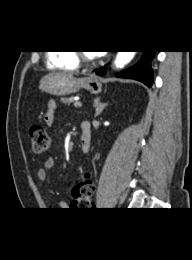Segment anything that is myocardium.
<instances>
[{
    "label": "myocardium",
    "mask_w": 192,
    "mask_h": 260,
    "mask_svg": "<svg viewBox=\"0 0 192 260\" xmlns=\"http://www.w3.org/2000/svg\"><path fill=\"white\" fill-rule=\"evenodd\" d=\"M74 54L79 62H82L86 65H93L98 61V55L91 57L83 51H75Z\"/></svg>",
    "instance_id": "f54148a6"
}]
</instances>
